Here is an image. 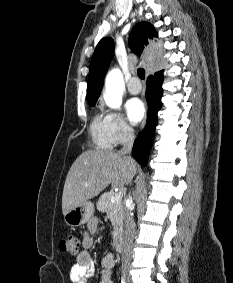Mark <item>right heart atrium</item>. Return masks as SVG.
<instances>
[{"mask_svg": "<svg viewBox=\"0 0 233 283\" xmlns=\"http://www.w3.org/2000/svg\"><path fill=\"white\" fill-rule=\"evenodd\" d=\"M106 116L114 144L124 143L133 136V129L122 114L109 112Z\"/></svg>", "mask_w": 233, "mask_h": 283, "instance_id": "1", "label": "right heart atrium"}]
</instances>
